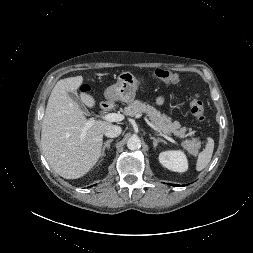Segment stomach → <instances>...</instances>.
<instances>
[{"instance_id":"obj_1","label":"stomach","mask_w":253,"mask_h":253,"mask_svg":"<svg viewBox=\"0 0 253 253\" xmlns=\"http://www.w3.org/2000/svg\"><path fill=\"white\" fill-rule=\"evenodd\" d=\"M139 81L131 72H122L116 84L105 91V96L114 100L130 103L134 100Z\"/></svg>"}]
</instances>
